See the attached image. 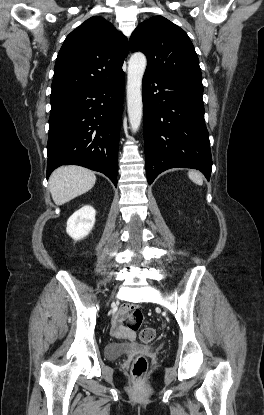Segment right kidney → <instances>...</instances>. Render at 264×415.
Listing matches in <instances>:
<instances>
[{
    "instance_id": "right-kidney-1",
    "label": "right kidney",
    "mask_w": 264,
    "mask_h": 415,
    "mask_svg": "<svg viewBox=\"0 0 264 415\" xmlns=\"http://www.w3.org/2000/svg\"><path fill=\"white\" fill-rule=\"evenodd\" d=\"M95 215V209L89 205L74 212L67 221V234L76 241L86 237L95 224Z\"/></svg>"
}]
</instances>
